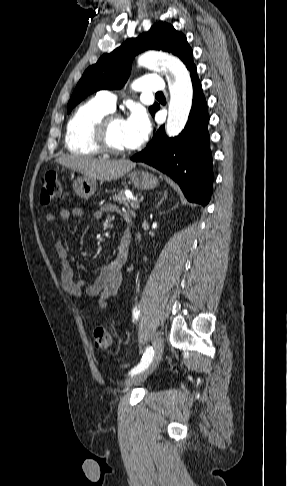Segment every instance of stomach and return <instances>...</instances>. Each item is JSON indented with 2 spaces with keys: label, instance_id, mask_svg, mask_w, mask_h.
Segmentation results:
<instances>
[{
  "label": "stomach",
  "instance_id": "stomach-1",
  "mask_svg": "<svg viewBox=\"0 0 287 486\" xmlns=\"http://www.w3.org/2000/svg\"><path fill=\"white\" fill-rule=\"evenodd\" d=\"M128 177L132 184L141 190L154 189L158 185L157 177L143 170L131 171ZM73 190L80 198L88 199L96 191V179L86 176L77 178L73 183Z\"/></svg>",
  "mask_w": 287,
  "mask_h": 486
}]
</instances>
